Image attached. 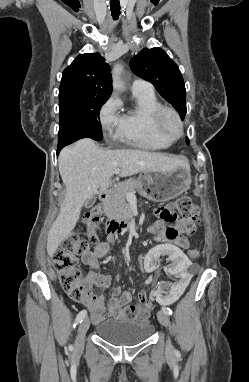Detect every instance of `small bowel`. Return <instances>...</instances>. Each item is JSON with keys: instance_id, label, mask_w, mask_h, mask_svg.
I'll use <instances>...</instances> for the list:
<instances>
[{"instance_id": "1", "label": "small bowel", "mask_w": 249, "mask_h": 382, "mask_svg": "<svg viewBox=\"0 0 249 382\" xmlns=\"http://www.w3.org/2000/svg\"><path fill=\"white\" fill-rule=\"evenodd\" d=\"M160 209H156L155 213L163 222L170 224L160 232V236L167 241H172L173 245H179L180 250L187 248L189 246L187 237L195 232L199 218L179 216L176 213H171L167 218L160 214ZM116 240L117 236L114 233L108 232L104 241L97 244L94 249L87 250L82 254V263L88 267V270L83 275V281L86 284V296L81 302L87 306L95 322H101L106 317L146 322L149 319L152 308L151 301H147L144 305H129L132 294L129 291L121 292V288L116 287L109 299L106 311L104 297L95 295L92 292L93 285L105 289L111 283L110 276L99 274L97 270L100 268L99 260L107 255L110 246ZM144 257H141L140 260H145Z\"/></svg>"}]
</instances>
